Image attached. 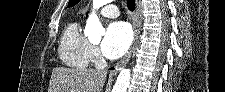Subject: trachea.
I'll return each instance as SVG.
<instances>
[{
  "label": "trachea",
  "instance_id": "trachea-1",
  "mask_svg": "<svg viewBox=\"0 0 225 92\" xmlns=\"http://www.w3.org/2000/svg\"><path fill=\"white\" fill-rule=\"evenodd\" d=\"M127 7L132 12L135 10V0H127Z\"/></svg>",
  "mask_w": 225,
  "mask_h": 92
}]
</instances>
